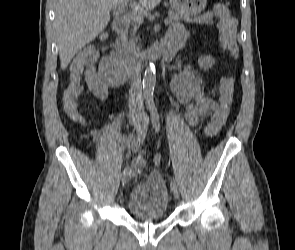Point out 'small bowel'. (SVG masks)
Segmentation results:
<instances>
[{"mask_svg": "<svg viewBox=\"0 0 295 250\" xmlns=\"http://www.w3.org/2000/svg\"><path fill=\"white\" fill-rule=\"evenodd\" d=\"M187 32L176 28L168 33L165 39L167 53L173 56L184 45ZM84 74L90 92L98 99H105L110 88L121 82L115 75V58L106 56L98 60L97 53L83 50L69 68V78L80 79ZM171 87L178 100L186 107V118L190 125L197 126L201 118L212 119L219 110L216 96L208 94L202 79L191 66L178 65L171 78ZM145 160L139 156L132 162L136 173L143 171Z\"/></svg>", "mask_w": 295, "mask_h": 250, "instance_id": "obj_1", "label": "small bowel"}]
</instances>
